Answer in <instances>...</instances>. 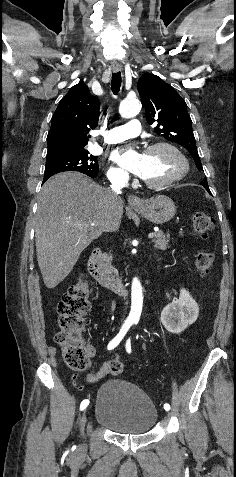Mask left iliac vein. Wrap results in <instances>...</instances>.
<instances>
[{
	"label": "left iliac vein",
	"mask_w": 236,
	"mask_h": 477,
	"mask_svg": "<svg viewBox=\"0 0 236 477\" xmlns=\"http://www.w3.org/2000/svg\"><path fill=\"white\" fill-rule=\"evenodd\" d=\"M164 411H165V412H164V416H165L166 418H169V417L171 416L170 410H168V409L166 410V409H165Z\"/></svg>",
	"instance_id": "4c4485c4"
}]
</instances>
